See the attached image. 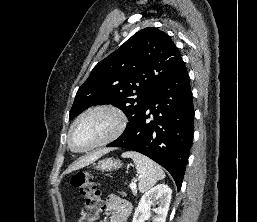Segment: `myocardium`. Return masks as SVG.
<instances>
[{
	"label": "myocardium",
	"mask_w": 257,
	"mask_h": 222,
	"mask_svg": "<svg viewBox=\"0 0 257 222\" xmlns=\"http://www.w3.org/2000/svg\"><path fill=\"white\" fill-rule=\"evenodd\" d=\"M93 113H107L111 115L114 119V127L112 131L98 143L85 149H76L72 143L73 130L84 117ZM126 125H127L126 113L119 106L112 103H102V104L91 106L88 109L84 110L81 114H79L71 124L68 131V137H67L68 146L73 152H76V153H86V152L92 151L94 149L107 145L115 141L116 139H118L123 134L126 128Z\"/></svg>",
	"instance_id": "1"
}]
</instances>
